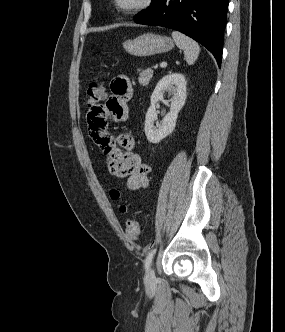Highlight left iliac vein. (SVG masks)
I'll use <instances>...</instances> for the list:
<instances>
[{
	"mask_svg": "<svg viewBox=\"0 0 285 332\" xmlns=\"http://www.w3.org/2000/svg\"><path fill=\"white\" fill-rule=\"evenodd\" d=\"M145 282H146L147 285H153V284H155V282H156V276H155L154 270L152 268H150L147 271Z\"/></svg>",
	"mask_w": 285,
	"mask_h": 332,
	"instance_id": "1",
	"label": "left iliac vein"
}]
</instances>
